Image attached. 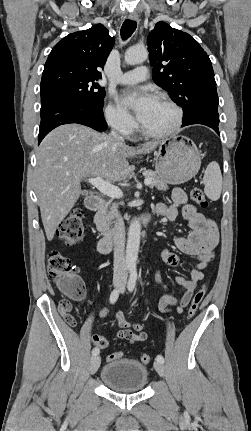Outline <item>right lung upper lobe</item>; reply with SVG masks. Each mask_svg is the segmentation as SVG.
I'll list each match as a JSON object with an SVG mask.
<instances>
[{
	"instance_id": "1",
	"label": "right lung upper lobe",
	"mask_w": 251,
	"mask_h": 431,
	"mask_svg": "<svg viewBox=\"0 0 251 431\" xmlns=\"http://www.w3.org/2000/svg\"><path fill=\"white\" fill-rule=\"evenodd\" d=\"M114 42L115 39L102 24L69 34L53 47L44 69L50 66H68L100 78L99 69L104 67Z\"/></svg>"
}]
</instances>
